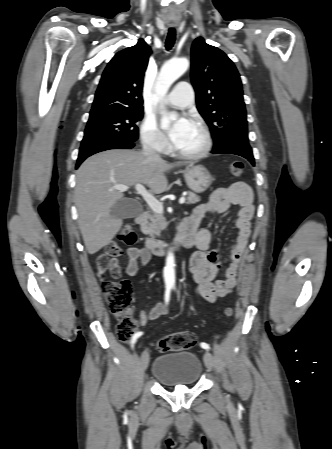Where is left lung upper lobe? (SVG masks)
Wrapping results in <instances>:
<instances>
[{
  "mask_svg": "<svg viewBox=\"0 0 332 449\" xmlns=\"http://www.w3.org/2000/svg\"><path fill=\"white\" fill-rule=\"evenodd\" d=\"M191 57L197 109L210 128L213 149L232 142L248 144L242 83L234 63L201 37L193 42Z\"/></svg>",
  "mask_w": 332,
  "mask_h": 449,
  "instance_id": "1",
  "label": "left lung upper lobe"
}]
</instances>
